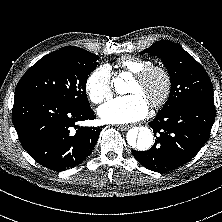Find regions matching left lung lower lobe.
Here are the masks:
<instances>
[{
    "instance_id": "left-lung-lower-lobe-1",
    "label": "left lung lower lobe",
    "mask_w": 222,
    "mask_h": 222,
    "mask_svg": "<svg viewBox=\"0 0 222 222\" xmlns=\"http://www.w3.org/2000/svg\"><path fill=\"white\" fill-rule=\"evenodd\" d=\"M216 110L214 102L191 101L149 123L156 137L148 151L132 150L135 159L149 170L165 173L189 162L208 141Z\"/></svg>"
}]
</instances>
